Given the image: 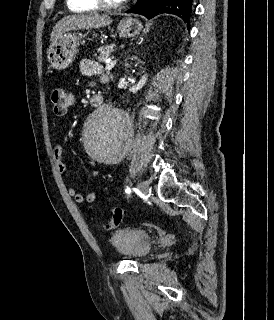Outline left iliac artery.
<instances>
[{
    "label": "left iliac artery",
    "mask_w": 274,
    "mask_h": 320,
    "mask_svg": "<svg viewBox=\"0 0 274 320\" xmlns=\"http://www.w3.org/2000/svg\"><path fill=\"white\" fill-rule=\"evenodd\" d=\"M125 192H126L127 194H130V193H131V189H130L129 187H126Z\"/></svg>",
    "instance_id": "1"
}]
</instances>
